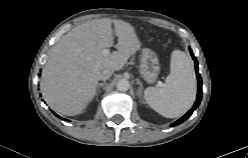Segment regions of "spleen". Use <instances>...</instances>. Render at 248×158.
<instances>
[{
	"label": "spleen",
	"instance_id": "spleen-1",
	"mask_svg": "<svg viewBox=\"0 0 248 158\" xmlns=\"http://www.w3.org/2000/svg\"><path fill=\"white\" fill-rule=\"evenodd\" d=\"M148 105L167 118L185 114L196 98V76L187 55L174 50L171 54L170 74L161 88L148 87L144 92Z\"/></svg>",
	"mask_w": 248,
	"mask_h": 158
}]
</instances>
